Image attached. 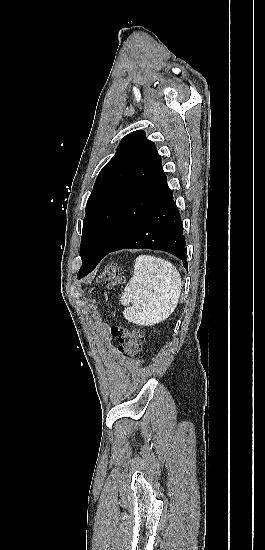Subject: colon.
Masks as SVG:
<instances>
[{
  "mask_svg": "<svg viewBox=\"0 0 265 550\" xmlns=\"http://www.w3.org/2000/svg\"><path fill=\"white\" fill-rule=\"evenodd\" d=\"M102 280L108 288H112L117 284L123 283L125 276L115 263H109L104 269ZM111 333L118 340L117 351L121 355L133 356L143 347L145 337L142 330L137 327L114 324L111 327Z\"/></svg>",
  "mask_w": 265,
  "mask_h": 550,
  "instance_id": "1",
  "label": "colon"
}]
</instances>
